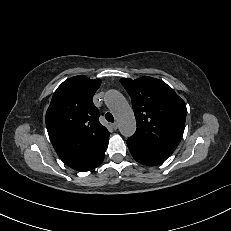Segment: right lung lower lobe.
<instances>
[{
	"mask_svg": "<svg viewBox=\"0 0 231 231\" xmlns=\"http://www.w3.org/2000/svg\"><path fill=\"white\" fill-rule=\"evenodd\" d=\"M104 156H105V152H104V154L99 158V162H98V165H100L101 163H102V161H103V159H104ZM97 165V166H98ZM96 166V167H97ZM94 169V168H93ZM92 170V169H91ZM81 172H85V171H81Z\"/></svg>",
	"mask_w": 231,
	"mask_h": 231,
	"instance_id": "98d812e1",
	"label": "right lung lower lobe"
}]
</instances>
